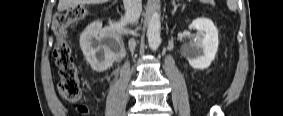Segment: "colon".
Returning <instances> with one entry per match:
<instances>
[{
  "label": "colon",
  "instance_id": "1",
  "mask_svg": "<svg viewBox=\"0 0 283 116\" xmlns=\"http://www.w3.org/2000/svg\"><path fill=\"white\" fill-rule=\"evenodd\" d=\"M88 14L84 4H76L62 13H58L52 25L56 37L54 57L59 69L58 91L68 102H77L82 95L78 69L74 61L72 48L67 40L69 28L82 20ZM80 112H86V107H79Z\"/></svg>",
  "mask_w": 283,
  "mask_h": 116
}]
</instances>
